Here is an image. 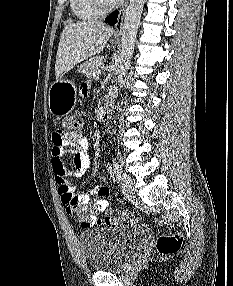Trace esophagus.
<instances>
[{
    "label": "esophagus",
    "instance_id": "obj_1",
    "mask_svg": "<svg viewBox=\"0 0 233 286\" xmlns=\"http://www.w3.org/2000/svg\"><path fill=\"white\" fill-rule=\"evenodd\" d=\"M127 8H128V0H126L125 4L120 9L117 21L115 23L114 35L116 37H120L122 34L123 20H124Z\"/></svg>",
    "mask_w": 233,
    "mask_h": 286
}]
</instances>
